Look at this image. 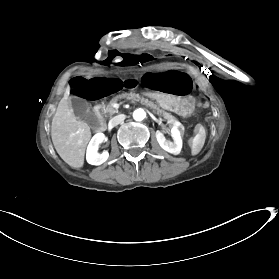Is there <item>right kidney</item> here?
Masks as SVG:
<instances>
[{
  "label": "right kidney",
  "mask_w": 279,
  "mask_h": 279,
  "mask_svg": "<svg viewBox=\"0 0 279 279\" xmlns=\"http://www.w3.org/2000/svg\"><path fill=\"white\" fill-rule=\"evenodd\" d=\"M104 138V134L97 133L91 139L86 152V159L89 164L98 166L109 158V153L107 151L98 154V145L103 142Z\"/></svg>",
  "instance_id": "ca27d5eb"
}]
</instances>
